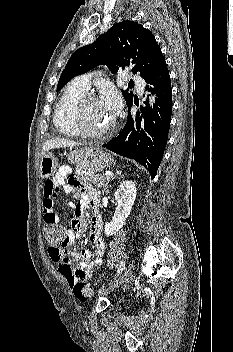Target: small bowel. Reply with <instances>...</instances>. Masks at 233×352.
Here are the masks:
<instances>
[{"label":"small bowel","instance_id":"obj_1","mask_svg":"<svg viewBox=\"0 0 233 352\" xmlns=\"http://www.w3.org/2000/svg\"><path fill=\"white\" fill-rule=\"evenodd\" d=\"M77 192L79 195L76 204L69 202L73 209L70 215V227H63L60 218L54 209V199L60 193ZM97 197L94 189L81 183L68 166L59 168L54 177L46 180L44 184L43 220L44 223L59 226L63 229L65 245H51L48 253L52 261L58 265L60 273L65 277L70 287L77 282L87 279L96 268L103 263L105 242L102 237V219L96 212ZM90 204L93 208V217L89 231V241L94 245L90 250L65 251L64 248L72 245L87 228V222L82 214V209Z\"/></svg>","mask_w":233,"mask_h":352}]
</instances>
